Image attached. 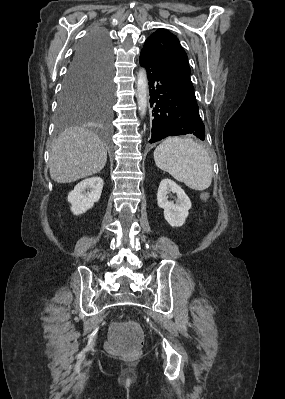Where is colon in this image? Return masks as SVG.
<instances>
[{
    "instance_id": "obj_1",
    "label": "colon",
    "mask_w": 285,
    "mask_h": 399,
    "mask_svg": "<svg viewBox=\"0 0 285 399\" xmlns=\"http://www.w3.org/2000/svg\"><path fill=\"white\" fill-rule=\"evenodd\" d=\"M143 338V330L137 322L117 323L110 329L107 349L115 354L133 355L140 349Z\"/></svg>"
}]
</instances>
